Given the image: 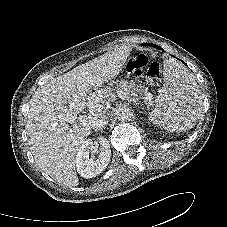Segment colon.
<instances>
[{"label": "colon", "mask_w": 227, "mask_h": 227, "mask_svg": "<svg viewBox=\"0 0 227 227\" xmlns=\"http://www.w3.org/2000/svg\"><path fill=\"white\" fill-rule=\"evenodd\" d=\"M127 71L132 76L145 75L153 85H158L161 81L159 64L156 62L149 63L147 56L141 52H136L128 60Z\"/></svg>", "instance_id": "1"}]
</instances>
